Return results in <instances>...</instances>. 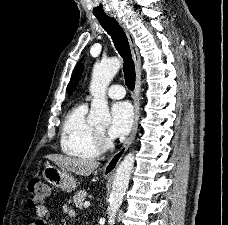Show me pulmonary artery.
<instances>
[{
	"instance_id": "e3ab8cb5",
	"label": "pulmonary artery",
	"mask_w": 228,
	"mask_h": 225,
	"mask_svg": "<svg viewBox=\"0 0 228 225\" xmlns=\"http://www.w3.org/2000/svg\"><path fill=\"white\" fill-rule=\"evenodd\" d=\"M126 94V91L121 85H113L108 90V96L112 99H120L123 98ZM88 99V98H87Z\"/></svg>"
}]
</instances>
